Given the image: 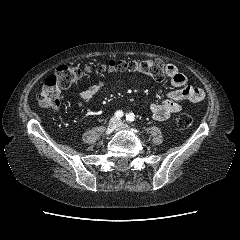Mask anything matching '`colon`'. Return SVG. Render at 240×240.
<instances>
[{
  "instance_id": "obj_1",
  "label": "colon",
  "mask_w": 240,
  "mask_h": 240,
  "mask_svg": "<svg viewBox=\"0 0 240 240\" xmlns=\"http://www.w3.org/2000/svg\"><path fill=\"white\" fill-rule=\"evenodd\" d=\"M92 73H137L156 81L167 76V65L159 59L149 60H109L98 66L60 65L53 75L46 78L38 97L39 105L45 109H56L60 105V89L69 88L80 79ZM194 122L191 114L179 115L177 124L181 129L190 127Z\"/></svg>"
}]
</instances>
